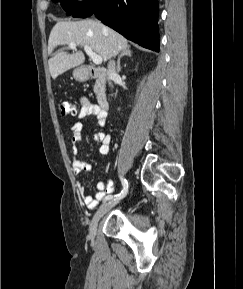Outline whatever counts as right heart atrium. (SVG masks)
<instances>
[{
	"instance_id": "d8ad5b80",
	"label": "right heart atrium",
	"mask_w": 243,
	"mask_h": 289,
	"mask_svg": "<svg viewBox=\"0 0 243 289\" xmlns=\"http://www.w3.org/2000/svg\"><path fill=\"white\" fill-rule=\"evenodd\" d=\"M76 1H78V2H84V1H87V0H76Z\"/></svg>"
}]
</instances>
